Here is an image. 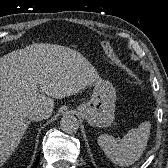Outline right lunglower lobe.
<instances>
[{"mask_svg":"<svg viewBox=\"0 0 168 168\" xmlns=\"http://www.w3.org/2000/svg\"><path fill=\"white\" fill-rule=\"evenodd\" d=\"M38 161H39V157H37V160H36V162H35V165H34L32 168H35V167L37 166Z\"/></svg>","mask_w":168,"mask_h":168,"instance_id":"98d812e1","label":"right lung lower lobe"}]
</instances>
